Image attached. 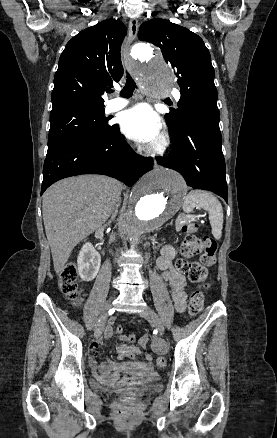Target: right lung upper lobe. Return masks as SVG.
I'll use <instances>...</instances> for the list:
<instances>
[{
	"instance_id": "1",
	"label": "right lung upper lobe",
	"mask_w": 277,
	"mask_h": 438,
	"mask_svg": "<svg viewBox=\"0 0 277 438\" xmlns=\"http://www.w3.org/2000/svg\"><path fill=\"white\" fill-rule=\"evenodd\" d=\"M126 31L119 20L107 19L67 43L54 77L51 114L104 109L101 95L123 76L120 47Z\"/></svg>"
}]
</instances>
